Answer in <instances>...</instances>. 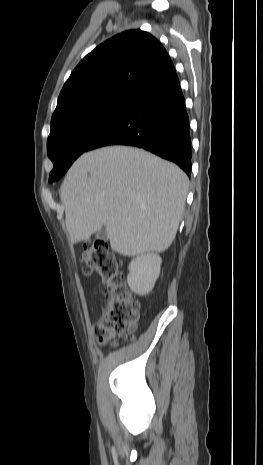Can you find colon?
<instances>
[{
	"instance_id": "5ec220e1",
	"label": "colon",
	"mask_w": 263,
	"mask_h": 465,
	"mask_svg": "<svg viewBox=\"0 0 263 465\" xmlns=\"http://www.w3.org/2000/svg\"><path fill=\"white\" fill-rule=\"evenodd\" d=\"M81 260L84 273H97L105 287L103 315L94 327L95 336L101 343L130 337L138 326L139 304L126 287L120 262L101 240L85 243Z\"/></svg>"
}]
</instances>
